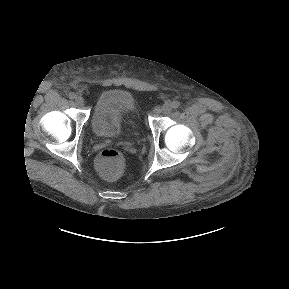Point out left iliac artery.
<instances>
[{
	"instance_id": "left-iliac-artery-1",
	"label": "left iliac artery",
	"mask_w": 289,
	"mask_h": 289,
	"mask_svg": "<svg viewBox=\"0 0 289 289\" xmlns=\"http://www.w3.org/2000/svg\"><path fill=\"white\" fill-rule=\"evenodd\" d=\"M179 106H180V102H178V101H173L171 103V107L174 108V109L179 108Z\"/></svg>"
}]
</instances>
